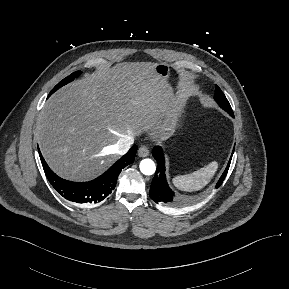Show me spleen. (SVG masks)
<instances>
[{
    "label": "spleen",
    "instance_id": "obj_1",
    "mask_svg": "<svg viewBox=\"0 0 289 289\" xmlns=\"http://www.w3.org/2000/svg\"><path fill=\"white\" fill-rule=\"evenodd\" d=\"M218 169V162L213 161L207 166L189 174L179 175L173 179V184L180 190L195 191L206 186Z\"/></svg>",
    "mask_w": 289,
    "mask_h": 289
}]
</instances>
